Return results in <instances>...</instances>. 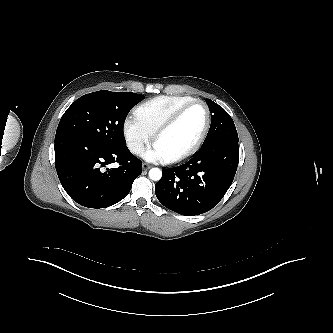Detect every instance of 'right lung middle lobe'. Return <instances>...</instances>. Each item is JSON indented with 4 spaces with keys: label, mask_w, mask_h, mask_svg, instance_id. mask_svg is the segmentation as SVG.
<instances>
[{
    "label": "right lung middle lobe",
    "mask_w": 333,
    "mask_h": 333,
    "mask_svg": "<svg viewBox=\"0 0 333 333\" xmlns=\"http://www.w3.org/2000/svg\"><path fill=\"white\" fill-rule=\"evenodd\" d=\"M143 98L141 94L106 90L86 94L63 114L55 137L71 136L108 146L126 145V116Z\"/></svg>",
    "instance_id": "right-lung-middle-lobe-1"
}]
</instances>
